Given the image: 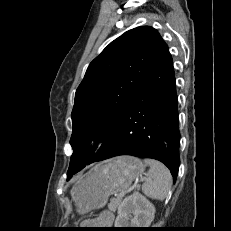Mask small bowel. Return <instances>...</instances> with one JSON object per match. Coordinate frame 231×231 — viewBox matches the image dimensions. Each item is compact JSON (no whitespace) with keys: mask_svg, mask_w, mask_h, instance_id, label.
I'll return each mask as SVG.
<instances>
[{"mask_svg":"<svg viewBox=\"0 0 231 231\" xmlns=\"http://www.w3.org/2000/svg\"><path fill=\"white\" fill-rule=\"evenodd\" d=\"M113 221H114V216L112 213L110 212L104 213L100 217V227L101 228H98L100 229L98 231H107V229L112 226Z\"/></svg>","mask_w":231,"mask_h":231,"instance_id":"1","label":"small bowel"}]
</instances>
